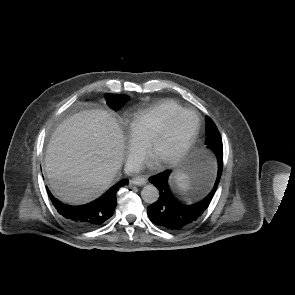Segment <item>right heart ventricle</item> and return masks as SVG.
I'll return each instance as SVG.
<instances>
[{
  "label": "right heart ventricle",
  "mask_w": 295,
  "mask_h": 295,
  "mask_svg": "<svg viewBox=\"0 0 295 295\" xmlns=\"http://www.w3.org/2000/svg\"><path fill=\"white\" fill-rule=\"evenodd\" d=\"M182 109L184 108L173 100H163L137 112L129 120L131 136L143 146H147L162 126Z\"/></svg>",
  "instance_id": "1"
}]
</instances>
